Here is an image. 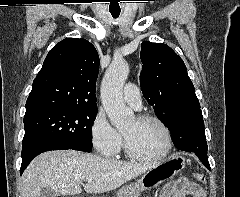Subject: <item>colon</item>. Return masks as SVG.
<instances>
[{"label": "colon", "mask_w": 240, "mask_h": 197, "mask_svg": "<svg viewBox=\"0 0 240 197\" xmlns=\"http://www.w3.org/2000/svg\"><path fill=\"white\" fill-rule=\"evenodd\" d=\"M194 177L198 182H205V176L202 173H195Z\"/></svg>", "instance_id": "5ec220e1"}]
</instances>
